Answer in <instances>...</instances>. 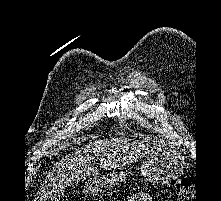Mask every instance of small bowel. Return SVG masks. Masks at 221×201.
Wrapping results in <instances>:
<instances>
[{
  "label": "small bowel",
  "mask_w": 221,
  "mask_h": 201,
  "mask_svg": "<svg viewBox=\"0 0 221 201\" xmlns=\"http://www.w3.org/2000/svg\"><path fill=\"white\" fill-rule=\"evenodd\" d=\"M128 201H152L147 193H137L131 196Z\"/></svg>",
  "instance_id": "obj_1"
}]
</instances>
